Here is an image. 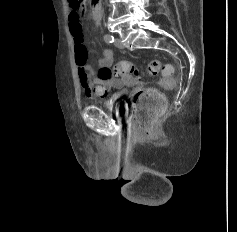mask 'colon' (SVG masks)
Here are the masks:
<instances>
[{
    "instance_id": "5ec220e1",
    "label": "colon",
    "mask_w": 237,
    "mask_h": 232,
    "mask_svg": "<svg viewBox=\"0 0 237 232\" xmlns=\"http://www.w3.org/2000/svg\"><path fill=\"white\" fill-rule=\"evenodd\" d=\"M71 9L76 13H82L85 9V0H68ZM115 73L140 75H157L163 73L160 85L164 89H172L175 84L173 69L171 66L162 67L161 63L153 60L149 63L147 70L138 71L133 64L128 61H120L115 66ZM165 109V99L163 95L154 88H145L138 91L134 96V108L132 122L137 129L143 133H150L159 117Z\"/></svg>"
}]
</instances>
